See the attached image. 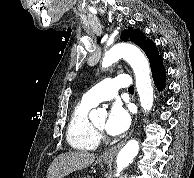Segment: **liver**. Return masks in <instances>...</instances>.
<instances>
[{
  "mask_svg": "<svg viewBox=\"0 0 194 178\" xmlns=\"http://www.w3.org/2000/svg\"><path fill=\"white\" fill-rule=\"evenodd\" d=\"M95 155L87 151H70L54 159L48 168L47 178H63L70 173L90 166Z\"/></svg>",
  "mask_w": 194,
  "mask_h": 178,
  "instance_id": "6515ba94",
  "label": "liver"
}]
</instances>
